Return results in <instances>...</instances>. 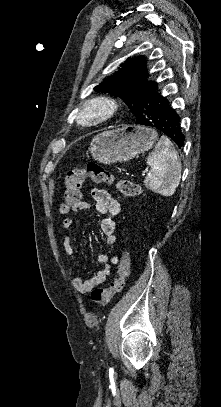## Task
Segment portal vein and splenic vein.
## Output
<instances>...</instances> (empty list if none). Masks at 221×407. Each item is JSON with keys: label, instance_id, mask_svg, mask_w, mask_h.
Returning a JSON list of instances; mask_svg holds the SVG:
<instances>
[{"label": "portal vein and splenic vein", "instance_id": "portal-vein-and-splenic-vein-1", "mask_svg": "<svg viewBox=\"0 0 221 407\" xmlns=\"http://www.w3.org/2000/svg\"><path fill=\"white\" fill-rule=\"evenodd\" d=\"M146 173H148V169L144 170V171L142 172V175H145Z\"/></svg>", "mask_w": 221, "mask_h": 407}]
</instances>
